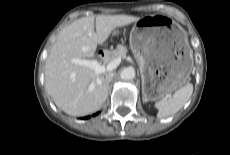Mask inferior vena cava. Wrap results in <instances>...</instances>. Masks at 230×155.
Listing matches in <instances>:
<instances>
[{"label":"inferior vena cava","mask_w":230,"mask_h":155,"mask_svg":"<svg viewBox=\"0 0 230 155\" xmlns=\"http://www.w3.org/2000/svg\"><path fill=\"white\" fill-rule=\"evenodd\" d=\"M112 78H113V73H107L106 74V80H107V82H110L111 80H112Z\"/></svg>","instance_id":"1"}]
</instances>
